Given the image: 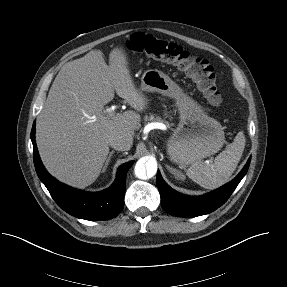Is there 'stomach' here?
Returning a JSON list of instances; mask_svg holds the SVG:
<instances>
[{
    "label": "stomach",
    "mask_w": 287,
    "mask_h": 287,
    "mask_svg": "<svg viewBox=\"0 0 287 287\" xmlns=\"http://www.w3.org/2000/svg\"><path fill=\"white\" fill-rule=\"evenodd\" d=\"M141 91L157 92L175 101L179 123L167 140V154L179 165H189L217 153L225 143L221 124L208 116L204 108L165 73L146 70Z\"/></svg>",
    "instance_id": "0dacf381"
}]
</instances>
